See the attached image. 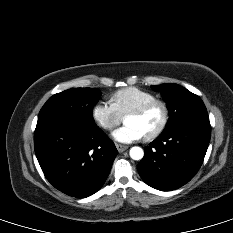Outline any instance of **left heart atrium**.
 I'll return each instance as SVG.
<instances>
[{"label":"left heart atrium","instance_id":"39dd6f15","mask_svg":"<svg viewBox=\"0 0 233 233\" xmlns=\"http://www.w3.org/2000/svg\"><path fill=\"white\" fill-rule=\"evenodd\" d=\"M113 138L122 143H131L144 137L142 131L133 124H125L113 132Z\"/></svg>","mask_w":233,"mask_h":233}]
</instances>
